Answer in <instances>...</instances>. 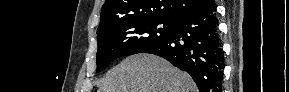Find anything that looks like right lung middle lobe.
<instances>
[{
    "instance_id": "obj_1",
    "label": "right lung middle lobe",
    "mask_w": 289,
    "mask_h": 92,
    "mask_svg": "<svg viewBox=\"0 0 289 92\" xmlns=\"http://www.w3.org/2000/svg\"><path fill=\"white\" fill-rule=\"evenodd\" d=\"M173 22L157 18L126 20L97 32V72L124 55L139 53L143 48L170 36Z\"/></svg>"
}]
</instances>
